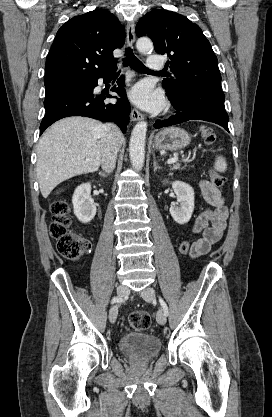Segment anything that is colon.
Wrapping results in <instances>:
<instances>
[{
	"instance_id": "1",
	"label": "colon",
	"mask_w": 272,
	"mask_h": 417,
	"mask_svg": "<svg viewBox=\"0 0 272 417\" xmlns=\"http://www.w3.org/2000/svg\"><path fill=\"white\" fill-rule=\"evenodd\" d=\"M202 137L208 146H213L216 142V134L211 127L204 126L201 129ZM210 179L215 187H223L226 183L224 176L216 171L210 172ZM51 212L53 215L50 225V233L56 240V246L59 254L64 258L76 260L91 249V243L72 233L68 230L70 226V207L65 200L58 199L51 204ZM194 241H183L178 246L181 254L190 252ZM129 325L132 329L141 331L147 330L151 325V318L144 311H137L130 315Z\"/></svg>"
}]
</instances>
